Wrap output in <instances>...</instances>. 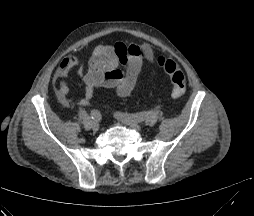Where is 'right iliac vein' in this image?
Returning <instances> with one entry per match:
<instances>
[{
    "mask_svg": "<svg viewBox=\"0 0 254 216\" xmlns=\"http://www.w3.org/2000/svg\"><path fill=\"white\" fill-rule=\"evenodd\" d=\"M92 130L97 131L100 128V122L97 120H94L91 124Z\"/></svg>",
    "mask_w": 254,
    "mask_h": 216,
    "instance_id": "63e3f726",
    "label": "right iliac vein"
}]
</instances>
